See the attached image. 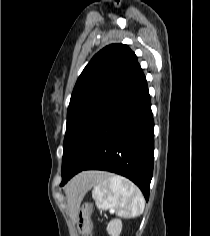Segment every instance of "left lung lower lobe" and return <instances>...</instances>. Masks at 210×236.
Instances as JSON below:
<instances>
[{
	"label": "left lung lower lobe",
	"instance_id": "0a47b994",
	"mask_svg": "<svg viewBox=\"0 0 210 236\" xmlns=\"http://www.w3.org/2000/svg\"><path fill=\"white\" fill-rule=\"evenodd\" d=\"M154 121L142 73L88 125L62 166L63 186L82 170L98 169L132 180L149 199Z\"/></svg>",
	"mask_w": 210,
	"mask_h": 236
}]
</instances>
